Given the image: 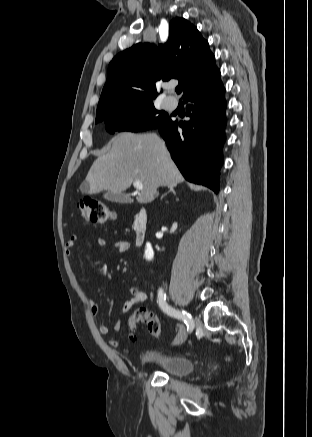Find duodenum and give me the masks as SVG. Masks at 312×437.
<instances>
[{
	"label": "duodenum",
	"instance_id": "obj_1",
	"mask_svg": "<svg viewBox=\"0 0 312 437\" xmlns=\"http://www.w3.org/2000/svg\"><path fill=\"white\" fill-rule=\"evenodd\" d=\"M148 213L145 209H141L135 215L133 221L135 244L137 247L144 245L147 237Z\"/></svg>",
	"mask_w": 312,
	"mask_h": 437
}]
</instances>
